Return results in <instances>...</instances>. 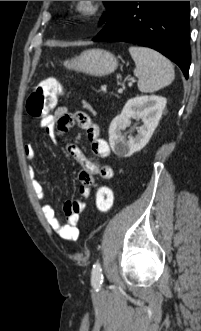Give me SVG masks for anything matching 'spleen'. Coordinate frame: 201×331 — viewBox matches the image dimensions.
<instances>
[{"mask_svg":"<svg viewBox=\"0 0 201 331\" xmlns=\"http://www.w3.org/2000/svg\"><path fill=\"white\" fill-rule=\"evenodd\" d=\"M129 52L136 65L134 75L141 92L152 93L172 83L174 68L165 56L142 46H130Z\"/></svg>","mask_w":201,"mask_h":331,"instance_id":"spleen-1","label":"spleen"}]
</instances>
